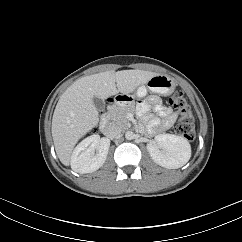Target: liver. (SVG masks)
Instances as JSON below:
<instances>
[{"mask_svg":"<svg viewBox=\"0 0 242 242\" xmlns=\"http://www.w3.org/2000/svg\"><path fill=\"white\" fill-rule=\"evenodd\" d=\"M157 73L143 70L106 71L76 80L61 95L52 118V137L56 154L69 166L78 140L97 126L98 110L93 98L106 99L129 94L146 84Z\"/></svg>","mask_w":242,"mask_h":242,"instance_id":"obj_1","label":"liver"}]
</instances>
